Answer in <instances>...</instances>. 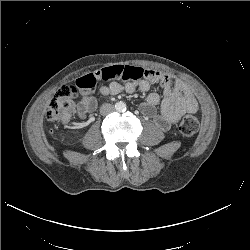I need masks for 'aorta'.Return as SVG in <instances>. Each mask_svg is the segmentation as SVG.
<instances>
[{
	"instance_id": "762f6f07",
	"label": "aorta",
	"mask_w": 250,
	"mask_h": 250,
	"mask_svg": "<svg viewBox=\"0 0 250 250\" xmlns=\"http://www.w3.org/2000/svg\"><path fill=\"white\" fill-rule=\"evenodd\" d=\"M115 110L117 112H124V111H126V104L123 101H118L115 104Z\"/></svg>"
}]
</instances>
